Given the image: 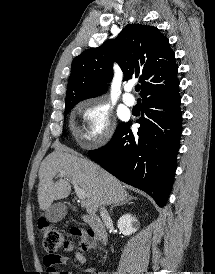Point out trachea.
I'll return each instance as SVG.
<instances>
[{
    "instance_id": "obj_1",
    "label": "trachea",
    "mask_w": 215,
    "mask_h": 274,
    "mask_svg": "<svg viewBox=\"0 0 215 274\" xmlns=\"http://www.w3.org/2000/svg\"><path fill=\"white\" fill-rule=\"evenodd\" d=\"M140 88H141L140 85H136V86H135V90H136L137 92L140 90Z\"/></svg>"
}]
</instances>
